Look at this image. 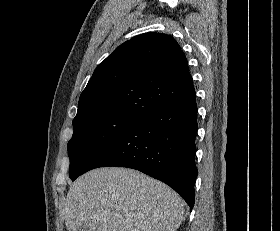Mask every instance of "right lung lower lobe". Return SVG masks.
<instances>
[{"label": "right lung lower lobe", "instance_id": "right-lung-lower-lobe-1", "mask_svg": "<svg viewBox=\"0 0 280 231\" xmlns=\"http://www.w3.org/2000/svg\"><path fill=\"white\" fill-rule=\"evenodd\" d=\"M197 111L196 97L153 111L108 146L81 174L107 166L136 169L168 184L192 210L197 177Z\"/></svg>", "mask_w": 280, "mask_h": 231}]
</instances>
